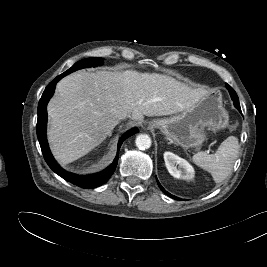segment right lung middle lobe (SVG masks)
<instances>
[{
    "label": "right lung middle lobe",
    "mask_w": 267,
    "mask_h": 267,
    "mask_svg": "<svg viewBox=\"0 0 267 267\" xmlns=\"http://www.w3.org/2000/svg\"><path fill=\"white\" fill-rule=\"evenodd\" d=\"M103 64V59L102 58H88V59H83L81 61H78L75 63L70 69L65 71L63 73L64 76L68 75L71 72H74L78 69L85 68V67H91V66H98Z\"/></svg>",
    "instance_id": "dd1d6c3e"
}]
</instances>
